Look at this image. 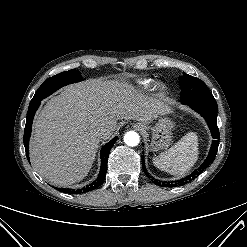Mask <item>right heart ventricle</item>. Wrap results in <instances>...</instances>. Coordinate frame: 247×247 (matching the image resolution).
<instances>
[{"label": "right heart ventricle", "mask_w": 247, "mask_h": 247, "mask_svg": "<svg viewBox=\"0 0 247 247\" xmlns=\"http://www.w3.org/2000/svg\"><path fill=\"white\" fill-rule=\"evenodd\" d=\"M147 83H148V82L146 81V82H144V83H143V85H144V86H146V85H147Z\"/></svg>", "instance_id": "1"}]
</instances>
